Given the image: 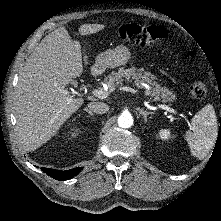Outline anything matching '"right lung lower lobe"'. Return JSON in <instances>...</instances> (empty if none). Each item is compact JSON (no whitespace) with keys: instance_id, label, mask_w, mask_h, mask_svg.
Returning <instances> with one entry per match:
<instances>
[{"instance_id":"obj_1","label":"right lung lower lobe","mask_w":221,"mask_h":221,"mask_svg":"<svg viewBox=\"0 0 221 221\" xmlns=\"http://www.w3.org/2000/svg\"><path fill=\"white\" fill-rule=\"evenodd\" d=\"M82 170V167H76L74 169H70L67 171H60V170H55L51 168H42V171L45 172L47 175L50 177L56 179V180H67L75 175H77L80 171Z\"/></svg>"}]
</instances>
